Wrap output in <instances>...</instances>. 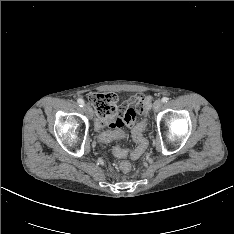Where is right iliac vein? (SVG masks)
<instances>
[{"mask_svg": "<svg viewBox=\"0 0 234 234\" xmlns=\"http://www.w3.org/2000/svg\"><path fill=\"white\" fill-rule=\"evenodd\" d=\"M84 112L90 117L92 118V109L88 104H85L83 106Z\"/></svg>", "mask_w": 234, "mask_h": 234, "instance_id": "right-iliac-vein-1", "label": "right iliac vein"}]
</instances>
